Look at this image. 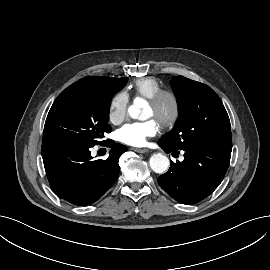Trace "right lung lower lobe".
<instances>
[{
	"label": "right lung lower lobe",
	"instance_id": "right-lung-lower-lobe-1",
	"mask_svg": "<svg viewBox=\"0 0 270 270\" xmlns=\"http://www.w3.org/2000/svg\"><path fill=\"white\" fill-rule=\"evenodd\" d=\"M111 141L106 160H92L90 147L52 143L42 145V158L52 191L74 205H89L115 183L119 157L127 151Z\"/></svg>",
	"mask_w": 270,
	"mask_h": 270
}]
</instances>
